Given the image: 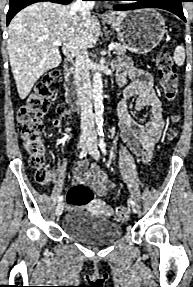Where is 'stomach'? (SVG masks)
<instances>
[{
  "instance_id": "obj_1",
  "label": "stomach",
  "mask_w": 193,
  "mask_h": 287,
  "mask_svg": "<svg viewBox=\"0 0 193 287\" xmlns=\"http://www.w3.org/2000/svg\"><path fill=\"white\" fill-rule=\"evenodd\" d=\"M118 38L134 53L144 54L154 49L162 40L166 25L163 17L153 9L127 12L107 20Z\"/></svg>"
}]
</instances>
